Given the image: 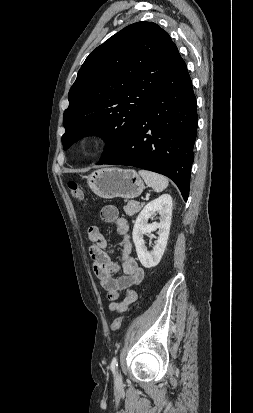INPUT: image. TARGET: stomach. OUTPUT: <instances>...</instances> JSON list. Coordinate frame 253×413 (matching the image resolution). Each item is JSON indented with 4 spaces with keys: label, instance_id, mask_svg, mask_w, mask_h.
<instances>
[{
    "label": "stomach",
    "instance_id": "0dacf381",
    "mask_svg": "<svg viewBox=\"0 0 253 413\" xmlns=\"http://www.w3.org/2000/svg\"><path fill=\"white\" fill-rule=\"evenodd\" d=\"M87 183L93 193L103 199H131L138 197L144 189V183L135 170L115 167L92 172L87 176Z\"/></svg>",
    "mask_w": 253,
    "mask_h": 413
}]
</instances>
